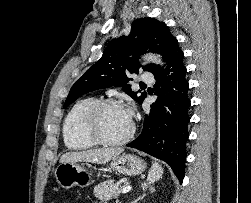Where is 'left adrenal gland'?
I'll use <instances>...</instances> for the list:
<instances>
[{
	"label": "left adrenal gland",
	"mask_w": 251,
	"mask_h": 203,
	"mask_svg": "<svg viewBox=\"0 0 251 203\" xmlns=\"http://www.w3.org/2000/svg\"><path fill=\"white\" fill-rule=\"evenodd\" d=\"M142 190L144 191V193L142 194V196H139L137 199H135L134 201H132L131 203H137L139 200L143 199L147 194L145 193V190L148 188L147 185L142 184ZM155 191L154 187H150V192L153 193Z\"/></svg>",
	"instance_id": "obj_1"
}]
</instances>
